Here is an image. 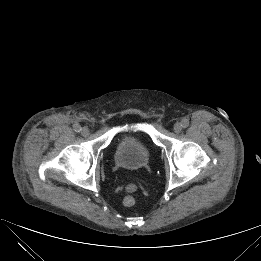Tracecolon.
<instances>
[{"label": "colon", "mask_w": 261, "mask_h": 261, "mask_svg": "<svg viewBox=\"0 0 261 261\" xmlns=\"http://www.w3.org/2000/svg\"><path fill=\"white\" fill-rule=\"evenodd\" d=\"M136 200L135 198L128 194L126 195L124 198H123V205L126 206V207H131L135 204Z\"/></svg>", "instance_id": "1"}]
</instances>
